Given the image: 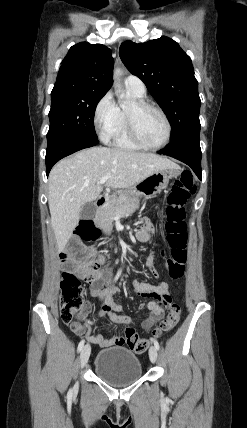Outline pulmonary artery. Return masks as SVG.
<instances>
[{
    "label": "pulmonary artery",
    "mask_w": 247,
    "mask_h": 428,
    "mask_svg": "<svg viewBox=\"0 0 247 428\" xmlns=\"http://www.w3.org/2000/svg\"><path fill=\"white\" fill-rule=\"evenodd\" d=\"M124 83L127 89L132 90L140 95H145L146 86L139 77L135 75H129L126 77Z\"/></svg>",
    "instance_id": "e3ab8cb5"
}]
</instances>
